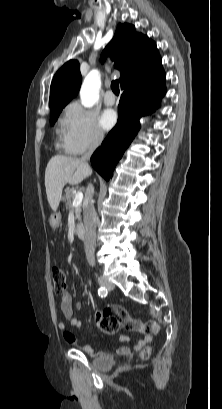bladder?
Listing matches in <instances>:
<instances>
[{"mask_svg": "<svg viewBox=\"0 0 222 409\" xmlns=\"http://www.w3.org/2000/svg\"><path fill=\"white\" fill-rule=\"evenodd\" d=\"M114 362H115V356L106 354V355H101L97 357L96 359H94L93 365L96 369L104 371L112 367Z\"/></svg>", "mask_w": 222, "mask_h": 409, "instance_id": "obj_1", "label": "bladder"}]
</instances>
